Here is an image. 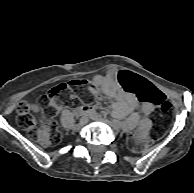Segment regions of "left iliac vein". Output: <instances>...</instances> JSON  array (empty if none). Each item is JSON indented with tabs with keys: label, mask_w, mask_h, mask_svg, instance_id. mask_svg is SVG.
<instances>
[{
	"label": "left iliac vein",
	"mask_w": 194,
	"mask_h": 193,
	"mask_svg": "<svg viewBox=\"0 0 194 193\" xmlns=\"http://www.w3.org/2000/svg\"><path fill=\"white\" fill-rule=\"evenodd\" d=\"M103 122L108 124L113 130L117 131L120 128V123L117 120L101 119Z\"/></svg>",
	"instance_id": "left-iliac-vein-1"
}]
</instances>
